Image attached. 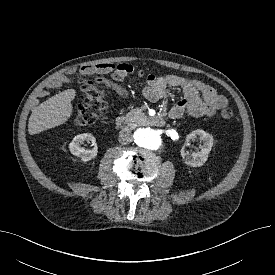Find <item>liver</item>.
Returning a JSON list of instances; mask_svg holds the SVG:
<instances>
[{
	"label": "liver",
	"instance_id": "liver-1",
	"mask_svg": "<svg viewBox=\"0 0 275 275\" xmlns=\"http://www.w3.org/2000/svg\"><path fill=\"white\" fill-rule=\"evenodd\" d=\"M75 96L74 89H67L35 107L29 118V134H38L67 122L73 113L71 102Z\"/></svg>",
	"mask_w": 275,
	"mask_h": 275
}]
</instances>
